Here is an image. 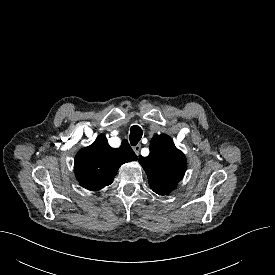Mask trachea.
Here are the masks:
<instances>
[{
    "label": "trachea",
    "mask_w": 275,
    "mask_h": 275,
    "mask_svg": "<svg viewBox=\"0 0 275 275\" xmlns=\"http://www.w3.org/2000/svg\"><path fill=\"white\" fill-rule=\"evenodd\" d=\"M143 135L142 129L138 125H134L130 129V143L132 146H136Z\"/></svg>",
    "instance_id": "1"
}]
</instances>
